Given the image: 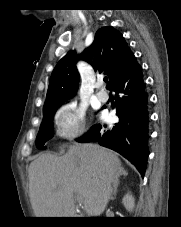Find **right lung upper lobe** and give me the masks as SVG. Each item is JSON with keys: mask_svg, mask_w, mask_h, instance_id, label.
<instances>
[{"mask_svg": "<svg viewBox=\"0 0 181 227\" xmlns=\"http://www.w3.org/2000/svg\"><path fill=\"white\" fill-rule=\"evenodd\" d=\"M131 55L121 33L111 26L100 28L93 43L81 54L70 51L57 63L51 74L44 108L62 104L75 95L79 85L76 68L79 59L88 62L95 71L108 75L109 87Z\"/></svg>", "mask_w": 181, "mask_h": 227, "instance_id": "1", "label": "right lung upper lobe"}]
</instances>
